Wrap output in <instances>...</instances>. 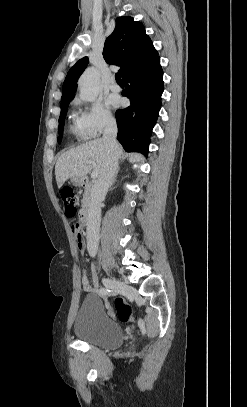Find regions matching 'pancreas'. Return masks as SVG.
<instances>
[{
  "instance_id": "1",
  "label": "pancreas",
  "mask_w": 247,
  "mask_h": 407,
  "mask_svg": "<svg viewBox=\"0 0 247 407\" xmlns=\"http://www.w3.org/2000/svg\"><path fill=\"white\" fill-rule=\"evenodd\" d=\"M89 200H90V188H89V187H86V188H85L84 195H83V203H86V202H88Z\"/></svg>"
}]
</instances>
